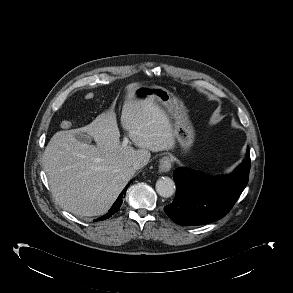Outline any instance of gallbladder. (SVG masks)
<instances>
[{
    "mask_svg": "<svg viewBox=\"0 0 293 293\" xmlns=\"http://www.w3.org/2000/svg\"><path fill=\"white\" fill-rule=\"evenodd\" d=\"M74 136L80 142L87 143V144L91 142V138L89 136H86L80 133L75 134Z\"/></svg>",
    "mask_w": 293,
    "mask_h": 293,
    "instance_id": "bac80fb5",
    "label": "gallbladder"
}]
</instances>
